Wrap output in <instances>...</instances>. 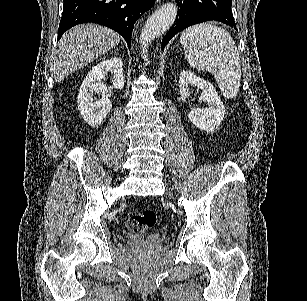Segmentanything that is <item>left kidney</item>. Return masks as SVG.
I'll use <instances>...</instances> for the list:
<instances>
[{"label":"left kidney","mask_w":307,"mask_h":301,"mask_svg":"<svg viewBox=\"0 0 307 301\" xmlns=\"http://www.w3.org/2000/svg\"><path fill=\"white\" fill-rule=\"evenodd\" d=\"M179 92L182 98H188L190 96V86H197L201 88L202 92L199 96L200 100L206 102L208 106L206 108H191L188 112V118L206 132H214L221 124L225 116V106L216 92L213 84L209 80H204L200 76H196L194 72L190 70H182L179 74Z\"/></svg>","instance_id":"1"}]
</instances>
